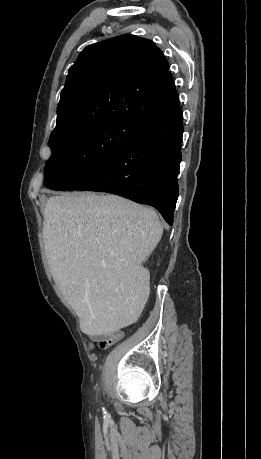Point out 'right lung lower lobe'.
Instances as JSON below:
<instances>
[{"label":"right lung lower lobe","instance_id":"98d812e1","mask_svg":"<svg viewBox=\"0 0 261 459\" xmlns=\"http://www.w3.org/2000/svg\"><path fill=\"white\" fill-rule=\"evenodd\" d=\"M182 121L179 104L146 124L121 153L72 189L104 191L153 206L172 225L178 198Z\"/></svg>","mask_w":261,"mask_h":459}]
</instances>
